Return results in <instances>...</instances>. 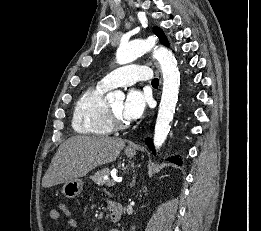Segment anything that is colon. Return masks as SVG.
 <instances>
[{
	"instance_id": "obj_1",
	"label": "colon",
	"mask_w": 261,
	"mask_h": 231,
	"mask_svg": "<svg viewBox=\"0 0 261 231\" xmlns=\"http://www.w3.org/2000/svg\"><path fill=\"white\" fill-rule=\"evenodd\" d=\"M63 213H66L67 212V208L65 207V208H63Z\"/></svg>"
}]
</instances>
